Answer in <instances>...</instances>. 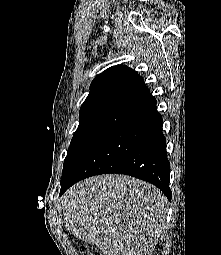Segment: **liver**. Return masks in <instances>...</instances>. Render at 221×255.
Listing matches in <instances>:
<instances>
[{
  "mask_svg": "<svg viewBox=\"0 0 221 255\" xmlns=\"http://www.w3.org/2000/svg\"><path fill=\"white\" fill-rule=\"evenodd\" d=\"M61 202L65 227L103 255H151L168 210L158 188L118 174L85 179Z\"/></svg>",
  "mask_w": 221,
  "mask_h": 255,
  "instance_id": "obj_1",
  "label": "liver"
}]
</instances>
